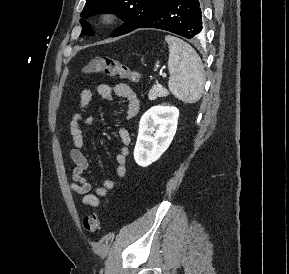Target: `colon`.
Masks as SVG:
<instances>
[{
	"label": "colon",
	"mask_w": 289,
	"mask_h": 274,
	"mask_svg": "<svg viewBox=\"0 0 289 274\" xmlns=\"http://www.w3.org/2000/svg\"><path fill=\"white\" fill-rule=\"evenodd\" d=\"M83 73H104L109 76L126 79L137 83L140 80V74L131 69L128 65L118 59L105 55H99L92 58L82 69ZM100 225V219L96 212L91 211L83 218V227L88 233L97 231Z\"/></svg>",
	"instance_id": "colon-1"
}]
</instances>
